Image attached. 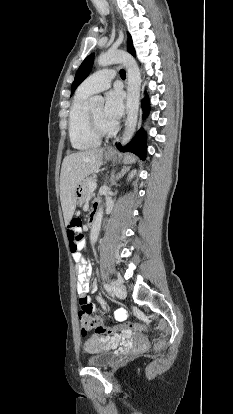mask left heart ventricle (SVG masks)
<instances>
[{
    "label": "left heart ventricle",
    "mask_w": 233,
    "mask_h": 414,
    "mask_svg": "<svg viewBox=\"0 0 233 414\" xmlns=\"http://www.w3.org/2000/svg\"><path fill=\"white\" fill-rule=\"evenodd\" d=\"M103 106H97L95 108L91 109V112L97 122V124L103 128V129H109L111 128L113 125L110 124L106 118L104 117V113H103Z\"/></svg>",
    "instance_id": "b2bd125f"
}]
</instances>
